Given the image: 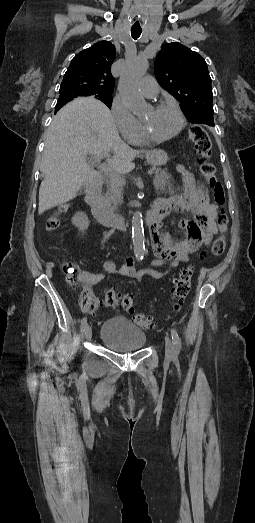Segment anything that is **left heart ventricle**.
Returning a JSON list of instances; mask_svg holds the SVG:
<instances>
[{
    "instance_id": "1",
    "label": "left heart ventricle",
    "mask_w": 255,
    "mask_h": 523,
    "mask_svg": "<svg viewBox=\"0 0 255 523\" xmlns=\"http://www.w3.org/2000/svg\"><path fill=\"white\" fill-rule=\"evenodd\" d=\"M140 120L145 124L151 135L162 137L173 133L179 124L176 111L170 106H164L157 110H147Z\"/></svg>"
}]
</instances>
